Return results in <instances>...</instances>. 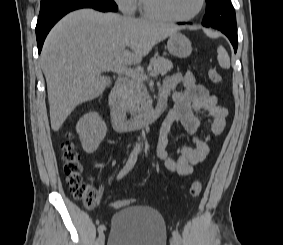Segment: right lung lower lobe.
I'll return each mask as SVG.
<instances>
[{
    "label": "right lung lower lobe",
    "instance_id": "98d812e1",
    "mask_svg": "<svg viewBox=\"0 0 283 245\" xmlns=\"http://www.w3.org/2000/svg\"><path fill=\"white\" fill-rule=\"evenodd\" d=\"M93 8L102 12L117 11L118 7L112 0H69L40 9L36 25L38 51L41 52L44 40L54 26L67 13L80 9Z\"/></svg>",
    "mask_w": 283,
    "mask_h": 245
}]
</instances>
